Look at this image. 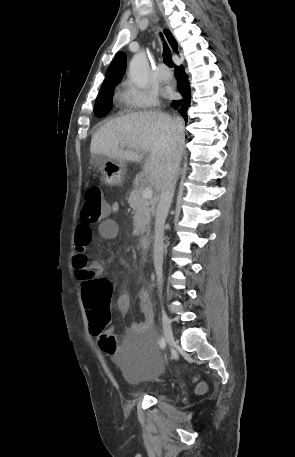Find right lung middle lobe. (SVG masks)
Listing matches in <instances>:
<instances>
[{"mask_svg": "<svg viewBox=\"0 0 295 457\" xmlns=\"http://www.w3.org/2000/svg\"><path fill=\"white\" fill-rule=\"evenodd\" d=\"M114 88L101 89L95 102L94 113L98 117L105 116L112 107Z\"/></svg>", "mask_w": 295, "mask_h": 457, "instance_id": "obj_1", "label": "right lung middle lobe"}]
</instances>
